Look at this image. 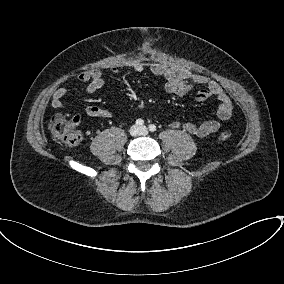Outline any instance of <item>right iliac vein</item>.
Wrapping results in <instances>:
<instances>
[{
  "mask_svg": "<svg viewBox=\"0 0 284 284\" xmlns=\"http://www.w3.org/2000/svg\"><path fill=\"white\" fill-rule=\"evenodd\" d=\"M139 132H140V129L136 125L132 126L131 129H130V134L133 135V136L138 135Z\"/></svg>",
  "mask_w": 284,
  "mask_h": 284,
  "instance_id": "right-iliac-vein-1",
  "label": "right iliac vein"
}]
</instances>
